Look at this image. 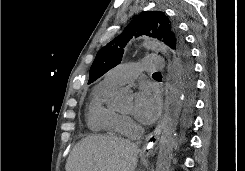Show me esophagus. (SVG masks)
<instances>
[{
    "label": "esophagus",
    "mask_w": 245,
    "mask_h": 171,
    "mask_svg": "<svg viewBox=\"0 0 245 171\" xmlns=\"http://www.w3.org/2000/svg\"><path fill=\"white\" fill-rule=\"evenodd\" d=\"M162 130V121H159L155 130L146 138L143 151L146 156L153 154V149L157 143Z\"/></svg>",
    "instance_id": "1"
}]
</instances>
